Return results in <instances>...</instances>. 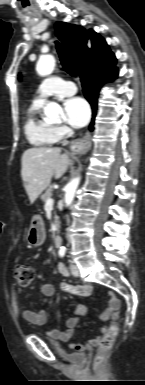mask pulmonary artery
Listing matches in <instances>:
<instances>
[{
    "instance_id": "e3ab8cb5",
    "label": "pulmonary artery",
    "mask_w": 145,
    "mask_h": 385,
    "mask_svg": "<svg viewBox=\"0 0 145 385\" xmlns=\"http://www.w3.org/2000/svg\"><path fill=\"white\" fill-rule=\"evenodd\" d=\"M77 88L71 81L53 76L45 79L37 90L34 102L43 103L50 96H68L76 93Z\"/></svg>"
}]
</instances>
